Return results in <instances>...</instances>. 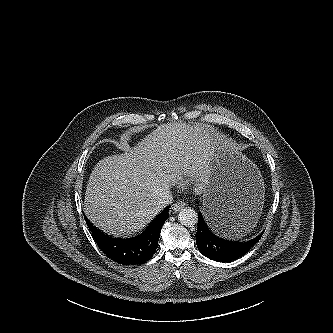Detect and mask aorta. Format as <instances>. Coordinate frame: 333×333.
Listing matches in <instances>:
<instances>
[{
	"mask_svg": "<svg viewBox=\"0 0 333 333\" xmlns=\"http://www.w3.org/2000/svg\"><path fill=\"white\" fill-rule=\"evenodd\" d=\"M178 219L182 225L191 227L197 223L198 215L193 208L185 207L180 210Z\"/></svg>",
	"mask_w": 333,
	"mask_h": 333,
	"instance_id": "obj_1",
	"label": "aorta"
}]
</instances>
